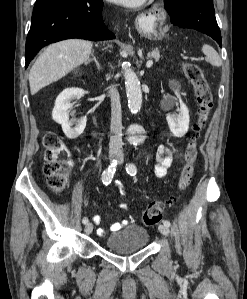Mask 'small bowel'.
<instances>
[{"mask_svg": "<svg viewBox=\"0 0 247 299\" xmlns=\"http://www.w3.org/2000/svg\"><path fill=\"white\" fill-rule=\"evenodd\" d=\"M172 160H173V157H172L171 151L164 146H160L157 151L158 164L155 166V169H154L157 177L162 178L166 175L168 168L171 166ZM116 185L123 194L122 185L120 183H117ZM120 207L122 209H126L127 206L125 203H121ZM92 220L95 224H100L101 216L96 214L93 216ZM127 223H128L127 220L123 221L122 223H114L111 225V230H113V231L119 230L122 227V225H126ZM98 235L104 236L105 231L103 229H99Z\"/></svg>", "mask_w": 247, "mask_h": 299, "instance_id": "1", "label": "small bowel"}]
</instances>
